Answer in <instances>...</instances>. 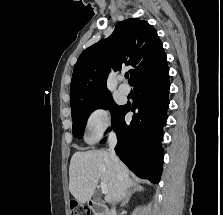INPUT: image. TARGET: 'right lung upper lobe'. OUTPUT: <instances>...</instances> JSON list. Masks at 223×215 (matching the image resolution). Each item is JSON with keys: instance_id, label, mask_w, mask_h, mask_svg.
<instances>
[{"instance_id": "1", "label": "right lung upper lobe", "mask_w": 223, "mask_h": 215, "mask_svg": "<svg viewBox=\"0 0 223 215\" xmlns=\"http://www.w3.org/2000/svg\"><path fill=\"white\" fill-rule=\"evenodd\" d=\"M122 65L133 67L129 70L131 85L168 68L162 42L146 21H121L110 37L81 53L71 80V108L109 96L106 80L110 67L120 70Z\"/></svg>"}]
</instances>
